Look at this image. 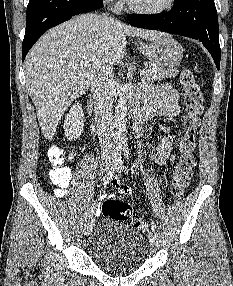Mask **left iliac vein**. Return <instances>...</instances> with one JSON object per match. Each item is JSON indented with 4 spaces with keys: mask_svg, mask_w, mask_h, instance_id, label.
<instances>
[{
    "mask_svg": "<svg viewBox=\"0 0 233 286\" xmlns=\"http://www.w3.org/2000/svg\"><path fill=\"white\" fill-rule=\"evenodd\" d=\"M122 170V163L120 162V164L117 167V171H121ZM149 237V242L151 244L152 247H157L158 246V235L155 231L151 230L148 234Z\"/></svg>",
    "mask_w": 233,
    "mask_h": 286,
    "instance_id": "left-iliac-vein-1",
    "label": "left iliac vein"
}]
</instances>
